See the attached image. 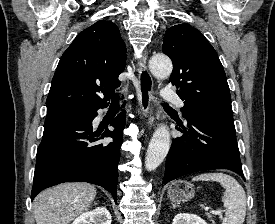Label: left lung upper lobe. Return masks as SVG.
<instances>
[{
    "mask_svg": "<svg viewBox=\"0 0 275 224\" xmlns=\"http://www.w3.org/2000/svg\"><path fill=\"white\" fill-rule=\"evenodd\" d=\"M162 51L173 63L170 82L184 101L183 117L207 115L233 120L231 96L216 51L188 23L169 28Z\"/></svg>",
    "mask_w": 275,
    "mask_h": 224,
    "instance_id": "left-lung-upper-lobe-1",
    "label": "left lung upper lobe"
}]
</instances>
